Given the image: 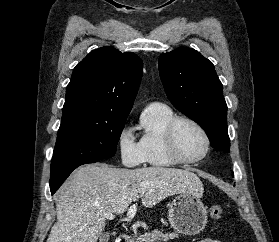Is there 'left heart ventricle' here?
Here are the masks:
<instances>
[{
  "mask_svg": "<svg viewBox=\"0 0 279 242\" xmlns=\"http://www.w3.org/2000/svg\"><path fill=\"white\" fill-rule=\"evenodd\" d=\"M175 138L180 153L188 159L201 156L205 150L203 136L189 123L181 122L178 125Z\"/></svg>",
  "mask_w": 279,
  "mask_h": 242,
  "instance_id": "b2bd125f",
  "label": "left heart ventricle"
}]
</instances>
